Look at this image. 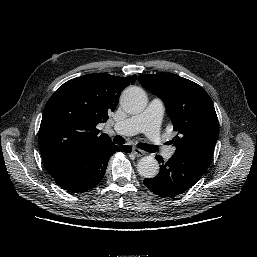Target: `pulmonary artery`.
<instances>
[{
    "label": "pulmonary artery",
    "mask_w": 257,
    "mask_h": 257,
    "mask_svg": "<svg viewBox=\"0 0 257 257\" xmlns=\"http://www.w3.org/2000/svg\"><path fill=\"white\" fill-rule=\"evenodd\" d=\"M163 113V102L159 98H154L143 112L123 121H116L113 123V126L117 132L124 135L144 132L156 150L164 158L169 159L173 156L175 150L164 142L159 131Z\"/></svg>",
    "instance_id": "1"
}]
</instances>
